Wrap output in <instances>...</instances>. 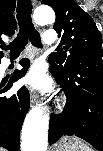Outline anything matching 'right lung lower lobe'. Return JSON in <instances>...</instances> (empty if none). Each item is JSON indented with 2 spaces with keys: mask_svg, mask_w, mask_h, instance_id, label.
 Returning <instances> with one entry per match:
<instances>
[{
  "mask_svg": "<svg viewBox=\"0 0 103 151\" xmlns=\"http://www.w3.org/2000/svg\"><path fill=\"white\" fill-rule=\"evenodd\" d=\"M25 68L14 72L12 77L0 81V146L9 151H20V130L29 110L30 95L25 87L15 94L6 96V93L30 66L29 60L23 65Z\"/></svg>",
  "mask_w": 103,
  "mask_h": 151,
  "instance_id": "right-lung-lower-lobe-1",
  "label": "right lung lower lobe"
}]
</instances>
